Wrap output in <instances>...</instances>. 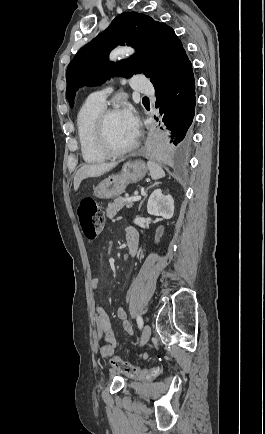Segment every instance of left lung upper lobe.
I'll list each match as a JSON object with an SVG mask.
<instances>
[{"instance_id":"left-lung-upper-lobe-1","label":"left lung upper lobe","mask_w":265,"mask_h":434,"mask_svg":"<svg viewBox=\"0 0 265 434\" xmlns=\"http://www.w3.org/2000/svg\"><path fill=\"white\" fill-rule=\"evenodd\" d=\"M131 45L137 53L117 63L108 62L109 52L117 45ZM186 52L174 30L152 17L125 12L90 43L81 48L66 72V96L71 107L76 90L82 85H98L114 74L131 77L145 74L154 87L166 80Z\"/></svg>"}]
</instances>
